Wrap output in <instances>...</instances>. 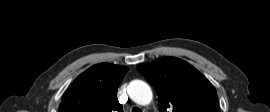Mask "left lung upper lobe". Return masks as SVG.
<instances>
[{"mask_svg":"<svg viewBox=\"0 0 270 112\" xmlns=\"http://www.w3.org/2000/svg\"><path fill=\"white\" fill-rule=\"evenodd\" d=\"M137 69L157 92L160 112H220L215 88L186 61L163 57Z\"/></svg>","mask_w":270,"mask_h":112,"instance_id":"left-lung-upper-lobe-1","label":"left lung upper lobe"}]
</instances>
